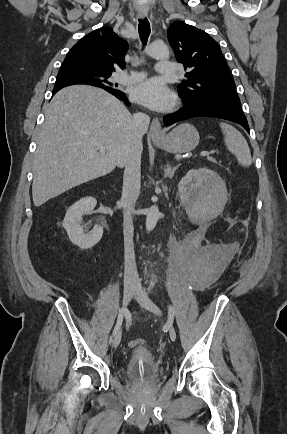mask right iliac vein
I'll list each match as a JSON object with an SVG mask.
<instances>
[{
  "instance_id": "1",
  "label": "right iliac vein",
  "mask_w": 287,
  "mask_h": 434,
  "mask_svg": "<svg viewBox=\"0 0 287 434\" xmlns=\"http://www.w3.org/2000/svg\"><path fill=\"white\" fill-rule=\"evenodd\" d=\"M135 288L136 287H135V283L134 282L128 281V282L125 283V286H124V296H123L125 308L130 303V301H131V299H132V297L134 295ZM120 341H121V331L119 330L116 333L115 337L113 338L112 347L113 348H117L118 345L120 344Z\"/></svg>"
}]
</instances>
